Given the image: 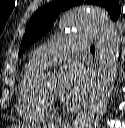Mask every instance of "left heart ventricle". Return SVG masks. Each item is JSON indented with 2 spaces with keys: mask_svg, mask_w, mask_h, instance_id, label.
Segmentation results:
<instances>
[{
  "mask_svg": "<svg viewBox=\"0 0 125 128\" xmlns=\"http://www.w3.org/2000/svg\"><path fill=\"white\" fill-rule=\"evenodd\" d=\"M43 91L50 96L57 97V91H58L57 81H53L49 85L45 86L43 88Z\"/></svg>",
  "mask_w": 125,
  "mask_h": 128,
  "instance_id": "1",
  "label": "left heart ventricle"
}]
</instances>
